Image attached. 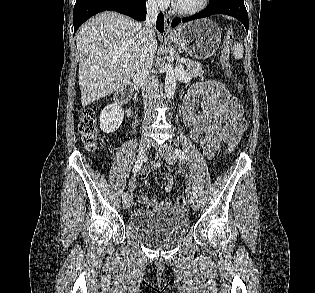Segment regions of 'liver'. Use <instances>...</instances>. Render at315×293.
I'll use <instances>...</instances> for the list:
<instances>
[{
    "label": "liver",
    "mask_w": 315,
    "mask_h": 293,
    "mask_svg": "<svg viewBox=\"0 0 315 293\" xmlns=\"http://www.w3.org/2000/svg\"><path fill=\"white\" fill-rule=\"evenodd\" d=\"M76 45L85 107L130 83L142 56L141 24L119 13L104 12L79 29Z\"/></svg>",
    "instance_id": "obj_1"
}]
</instances>
